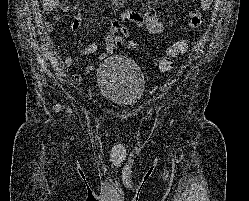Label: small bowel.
<instances>
[{
    "instance_id": "c3829d8e",
    "label": "small bowel",
    "mask_w": 249,
    "mask_h": 201,
    "mask_svg": "<svg viewBox=\"0 0 249 201\" xmlns=\"http://www.w3.org/2000/svg\"><path fill=\"white\" fill-rule=\"evenodd\" d=\"M46 8L49 9H59L62 12H75L76 7L73 5H66L61 2V0H43ZM214 0H200V8L197 10H192L188 13V28H195L201 24L202 13L208 11ZM131 22L140 27H145L147 31L151 34H160L165 30L166 22L163 20L158 12L156 5L147 6L144 12H134L130 10L123 11L118 18L112 19L110 23V29L105 35V46L104 52L99 54L98 59L103 61L108 55L114 53L116 46L121 42L123 38L129 36L130 30L127 26V23ZM81 22L76 19L72 22L71 28L76 31L80 28ZM44 28L48 32L54 30V25L51 22H45ZM99 49V46L96 42L89 43L82 50L83 56H90L95 54ZM171 47L166 49V54L169 53ZM75 63V60L72 56L67 55L64 57V64L66 67H72ZM93 65H87L84 69L86 74H89L93 71ZM76 76H79L76 74Z\"/></svg>"
}]
</instances>
